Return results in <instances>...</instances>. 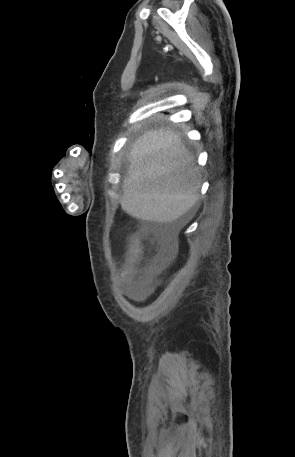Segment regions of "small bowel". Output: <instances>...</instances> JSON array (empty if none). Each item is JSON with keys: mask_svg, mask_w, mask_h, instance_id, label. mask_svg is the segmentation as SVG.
Here are the masks:
<instances>
[{"mask_svg": "<svg viewBox=\"0 0 295 457\" xmlns=\"http://www.w3.org/2000/svg\"><path fill=\"white\" fill-rule=\"evenodd\" d=\"M146 293V288L145 286L143 285H137L135 287L132 288V290L130 291V295L134 298V299H142L144 297Z\"/></svg>", "mask_w": 295, "mask_h": 457, "instance_id": "small-bowel-1", "label": "small bowel"}]
</instances>
